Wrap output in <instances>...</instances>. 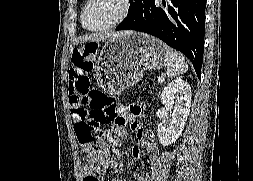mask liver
Masks as SVG:
<instances>
[{
    "label": "liver",
    "instance_id": "liver-1",
    "mask_svg": "<svg viewBox=\"0 0 253 181\" xmlns=\"http://www.w3.org/2000/svg\"><path fill=\"white\" fill-rule=\"evenodd\" d=\"M133 31H122V32H117V33H95V34H90L88 36H85L81 38L78 42H99V41H104L106 38H111L115 37L118 35H121L123 33H131Z\"/></svg>",
    "mask_w": 253,
    "mask_h": 181
}]
</instances>
